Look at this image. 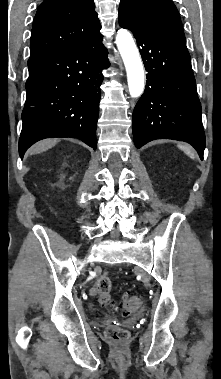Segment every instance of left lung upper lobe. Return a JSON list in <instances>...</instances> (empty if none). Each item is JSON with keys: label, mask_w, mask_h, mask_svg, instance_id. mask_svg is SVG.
I'll use <instances>...</instances> for the list:
<instances>
[{"label": "left lung upper lobe", "mask_w": 221, "mask_h": 379, "mask_svg": "<svg viewBox=\"0 0 221 379\" xmlns=\"http://www.w3.org/2000/svg\"><path fill=\"white\" fill-rule=\"evenodd\" d=\"M119 8L127 9L141 24L154 31L185 39L179 12L172 0H121Z\"/></svg>", "instance_id": "1"}]
</instances>
